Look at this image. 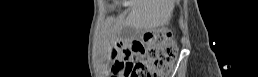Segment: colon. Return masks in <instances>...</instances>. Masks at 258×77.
<instances>
[{
    "label": "colon",
    "instance_id": "5ec220e1",
    "mask_svg": "<svg viewBox=\"0 0 258 77\" xmlns=\"http://www.w3.org/2000/svg\"><path fill=\"white\" fill-rule=\"evenodd\" d=\"M178 48L167 29L149 32L138 47L124 50L118 58L114 53L113 70L124 77H163L176 60Z\"/></svg>",
    "mask_w": 258,
    "mask_h": 77
}]
</instances>
